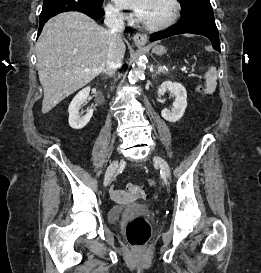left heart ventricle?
Listing matches in <instances>:
<instances>
[{
	"label": "left heart ventricle",
	"mask_w": 261,
	"mask_h": 273,
	"mask_svg": "<svg viewBox=\"0 0 261 273\" xmlns=\"http://www.w3.org/2000/svg\"><path fill=\"white\" fill-rule=\"evenodd\" d=\"M171 12V6L167 0H152L145 23L155 24L166 20Z\"/></svg>",
	"instance_id": "1"
}]
</instances>
